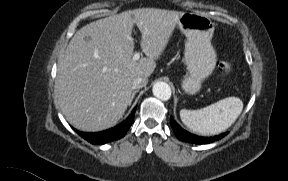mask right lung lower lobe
<instances>
[{
	"label": "right lung lower lobe",
	"instance_id": "right-lung-lower-lobe-1",
	"mask_svg": "<svg viewBox=\"0 0 288 181\" xmlns=\"http://www.w3.org/2000/svg\"><path fill=\"white\" fill-rule=\"evenodd\" d=\"M135 111L136 107L132 110L131 114L127 117L126 120L111 129L96 133H85L81 131L76 132L91 144H105L121 139L125 136L129 128L131 127L134 120Z\"/></svg>",
	"mask_w": 288,
	"mask_h": 181
}]
</instances>
